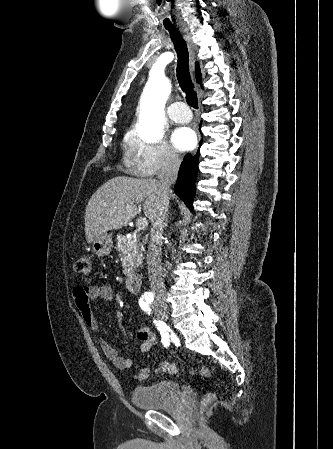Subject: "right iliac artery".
Masks as SVG:
<instances>
[{
  "label": "right iliac artery",
  "mask_w": 333,
  "mask_h": 449,
  "mask_svg": "<svg viewBox=\"0 0 333 449\" xmlns=\"http://www.w3.org/2000/svg\"><path fill=\"white\" fill-rule=\"evenodd\" d=\"M153 300H154L153 295L145 294L139 301V305H140L141 309L146 311V312H148V314H150V309L148 307V304H151L153 302ZM154 323L157 326H159L158 329L161 330V333H163V329H161L162 325L160 324V321L157 322L156 320H154ZM163 344H164V346H168L169 345L166 336H164Z\"/></svg>",
  "instance_id": "obj_1"
}]
</instances>
